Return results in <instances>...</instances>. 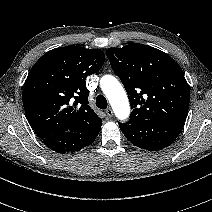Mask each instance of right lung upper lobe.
Returning <instances> with one entry per match:
<instances>
[{
    "label": "right lung upper lobe",
    "instance_id": "right-lung-upper-lobe-1",
    "mask_svg": "<svg viewBox=\"0 0 212 212\" xmlns=\"http://www.w3.org/2000/svg\"><path fill=\"white\" fill-rule=\"evenodd\" d=\"M104 60L100 49L66 46L46 52L35 63L25 81L22 100L38 137L101 128V119L88 105L85 79L100 70Z\"/></svg>",
    "mask_w": 212,
    "mask_h": 212
}]
</instances>
